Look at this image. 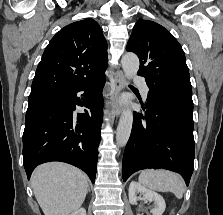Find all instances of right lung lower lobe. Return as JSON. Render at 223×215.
<instances>
[{
	"mask_svg": "<svg viewBox=\"0 0 223 215\" xmlns=\"http://www.w3.org/2000/svg\"><path fill=\"white\" fill-rule=\"evenodd\" d=\"M104 84L103 72L60 98L28 107L23 133V164L28 179L37 165L61 161L82 169L94 183ZM80 91H85L84 101L76 96ZM76 105L88 109L77 118L73 116Z\"/></svg>",
	"mask_w": 223,
	"mask_h": 215,
	"instance_id": "right-lung-lower-lobe-1",
	"label": "right lung lower lobe"
}]
</instances>
